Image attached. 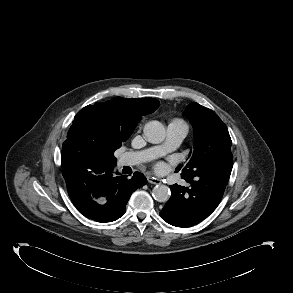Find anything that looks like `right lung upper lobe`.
Returning <instances> with one entry per match:
<instances>
[{
  "label": "right lung upper lobe",
  "mask_w": 293,
  "mask_h": 293,
  "mask_svg": "<svg viewBox=\"0 0 293 293\" xmlns=\"http://www.w3.org/2000/svg\"><path fill=\"white\" fill-rule=\"evenodd\" d=\"M158 107L159 101L154 98L115 97L105 103L88 105L80 110L62 146L64 179L77 174L80 168H85L93 162L90 153L101 145L112 142L122 145L142 116L153 113ZM101 161L113 164L108 158Z\"/></svg>",
  "instance_id": "1"
}]
</instances>
